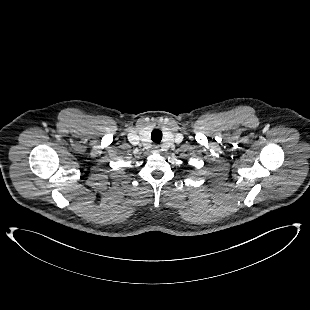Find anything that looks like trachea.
<instances>
[{"mask_svg": "<svg viewBox=\"0 0 310 310\" xmlns=\"http://www.w3.org/2000/svg\"><path fill=\"white\" fill-rule=\"evenodd\" d=\"M151 139L155 143H160L162 139V132L158 129H154L151 133Z\"/></svg>", "mask_w": 310, "mask_h": 310, "instance_id": "3493384b", "label": "trachea"}]
</instances>
